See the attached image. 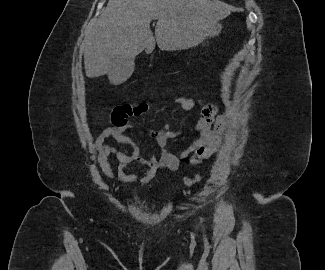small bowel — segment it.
<instances>
[{
  "label": "small bowel",
  "instance_id": "small-bowel-1",
  "mask_svg": "<svg viewBox=\"0 0 325 270\" xmlns=\"http://www.w3.org/2000/svg\"><path fill=\"white\" fill-rule=\"evenodd\" d=\"M153 97L150 100H159ZM174 103L179 105L183 112L187 113L193 109L194 102L185 96H178L174 99ZM202 104V112L196 125L188 133L198 134L189 146L178 153H172L168 150V144L171 140L177 139L186 133L170 129L165 124L160 130H152L143 128L145 134L153 138L159 147L158 155L144 156L140 152L137 143L124 131L129 127L130 117H138L146 113L149 109V101L143 103H117L113 111V125L102 130L95 141V145L99 152V163L103 173L114 179V170L110 160L114 156L118 161L116 168V179L121 183H134L138 180L135 174L126 173V168L131 164H136L146 170V175L141 182L149 183L159 169H168L175 171L179 168L182 159L190 157L193 164H198L203 160L209 159L215 154L221 143V135L225 130L226 118L224 115H218V107L211 103ZM215 130L212 131L210 126L215 117ZM113 139L120 145H128L131 150L118 149L105 143L106 140Z\"/></svg>",
  "mask_w": 325,
  "mask_h": 270
}]
</instances>
